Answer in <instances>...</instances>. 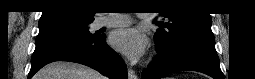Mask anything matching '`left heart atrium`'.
Returning a JSON list of instances; mask_svg holds the SVG:
<instances>
[{
  "instance_id": "1",
  "label": "left heart atrium",
  "mask_w": 255,
  "mask_h": 79,
  "mask_svg": "<svg viewBox=\"0 0 255 79\" xmlns=\"http://www.w3.org/2000/svg\"><path fill=\"white\" fill-rule=\"evenodd\" d=\"M109 42L117 51L132 61L139 60L147 47V39L134 28H121L114 30Z\"/></svg>"
}]
</instances>
